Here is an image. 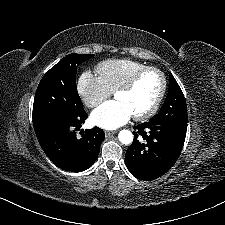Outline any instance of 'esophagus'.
Here are the masks:
<instances>
[{
    "instance_id": "obj_1",
    "label": "esophagus",
    "mask_w": 225,
    "mask_h": 225,
    "mask_svg": "<svg viewBox=\"0 0 225 225\" xmlns=\"http://www.w3.org/2000/svg\"><path fill=\"white\" fill-rule=\"evenodd\" d=\"M116 133V131H105V135H106V137H110V136H112V135H114Z\"/></svg>"
}]
</instances>
